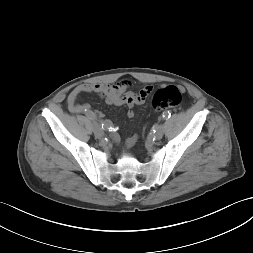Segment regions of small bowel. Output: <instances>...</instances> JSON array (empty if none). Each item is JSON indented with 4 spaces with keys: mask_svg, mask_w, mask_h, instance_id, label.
<instances>
[{
    "mask_svg": "<svg viewBox=\"0 0 253 253\" xmlns=\"http://www.w3.org/2000/svg\"><path fill=\"white\" fill-rule=\"evenodd\" d=\"M131 81L121 80L116 84H81L75 87L67 98V108L71 113L95 115L91 106L87 103H79L78 98L82 93H95L101 96L107 104L121 106L127 105L129 107L128 117L134 116L133 106L142 104L145 99L152 92V86L143 87L138 93L129 91ZM99 116H102L99 113ZM105 124H110V121L106 120ZM114 140L117 142L118 137L114 136ZM136 141V137L133 136L127 140V145L131 146Z\"/></svg>",
    "mask_w": 253,
    "mask_h": 253,
    "instance_id": "1",
    "label": "small bowel"
}]
</instances>
